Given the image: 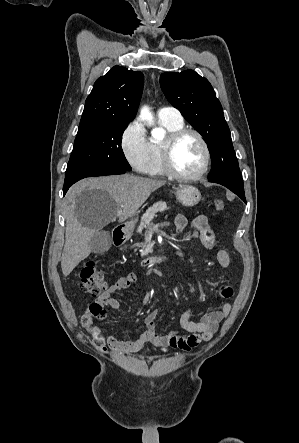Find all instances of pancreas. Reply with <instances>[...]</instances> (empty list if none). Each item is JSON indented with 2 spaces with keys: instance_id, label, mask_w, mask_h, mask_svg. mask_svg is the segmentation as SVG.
Returning a JSON list of instances; mask_svg holds the SVG:
<instances>
[{
  "instance_id": "1",
  "label": "pancreas",
  "mask_w": 299,
  "mask_h": 443,
  "mask_svg": "<svg viewBox=\"0 0 299 443\" xmlns=\"http://www.w3.org/2000/svg\"><path fill=\"white\" fill-rule=\"evenodd\" d=\"M167 209H168L167 204L161 201L149 207L141 218V223L137 229V232L141 234L143 228L146 227V225H148L153 220V218L156 216L158 212H163ZM141 245L144 247L143 243Z\"/></svg>"
}]
</instances>
